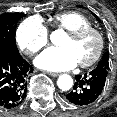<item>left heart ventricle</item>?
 Instances as JSON below:
<instances>
[{
	"mask_svg": "<svg viewBox=\"0 0 117 117\" xmlns=\"http://www.w3.org/2000/svg\"><path fill=\"white\" fill-rule=\"evenodd\" d=\"M97 45L98 40L93 33L86 34L78 39L66 35L61 42L62 47H68L74 52L78 63L91 58L96 51Z\"/></svg>",
	"mask_w": 117,
	"mask_h": 117,
	"instance_id": "left-heart-ventricle-1",
	"label": "left heart ventricle"
}]
</instances>
